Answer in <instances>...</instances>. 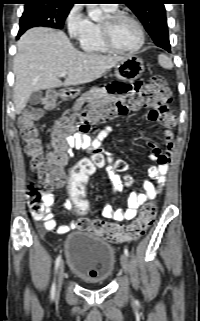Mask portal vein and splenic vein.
Segmentation results:
<instances>
[{"label": "portal vein and splenic vein", "mask_w": 200, "mask_h": 321, "mask_svg": "<svg viewBox=\"0 0 200 321\" xmlns=\"http://www.w3.org/2000/svg\"><path fill=\"white\" fill-rule=\"evenodd\" d=\"M67 73L64 71L60 74V76H65Z\"/></svg>", "instance_id": "18ae733b"}]
</instances>
